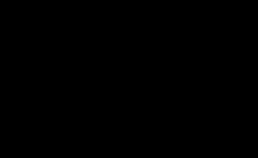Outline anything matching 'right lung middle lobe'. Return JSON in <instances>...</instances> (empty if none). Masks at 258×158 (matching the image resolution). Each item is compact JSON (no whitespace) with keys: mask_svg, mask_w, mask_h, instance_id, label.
<instances>
[{"mask_svg":"<svg viewBox=\"0 0 258 158\" xmlns=\"http://www.w3.org/2000/svg\"><path fill=\"white\" fill-rule=\"evenodd\" d=\"M114 35L115 30L109 26L87 23L78 25L52 44L47 60L62 56H81L103 64L102 47Z\"/></svg>","mask_w":258,"mask_h":158,"instance_id":"right-lung-middle-lobe-1","label":"right lung middle lobe"}]
</instances>
